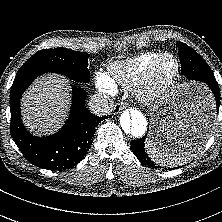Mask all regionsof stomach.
Instances as JSON below:
<instances>
[{
    "label": "stomach",
    "instance_id": "0dacf381",
    "mask_svg": "<svg viewBox=\"0 0 222 222\" xmlns=\"http://www.w3.org/2000/svg\"><path fill=\"white\" fill-rule=\"evenodd\" d=\"M213 101L206 87L198 83H184L173 87L151 109L148 137L164 147L181 129L193 127L204 116L212 113ZM209 134L190 150L196 152L206 143Z\"/></svg>",
    "mask_w": 222,
    "mask_h": 222
}]
</instances>
